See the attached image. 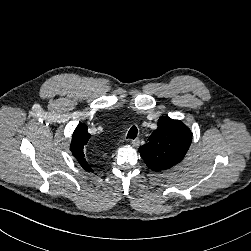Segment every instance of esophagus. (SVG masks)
<instances>
[{"label":"esophagus","instance_id":"obj_1","mask_svg":"<svg viewBox=\"0 0 251 251\" xmlns=\"http://www.w3.org/2000/svg\"><path fill=\"white\" fill-rule=\"evenodd\" d=\"M139 144H140V140H139V139H134V140L132 141V145H133L134 147H138Z\"/></svg>","mask_w":251,"mask_h":251}]
</instances>
